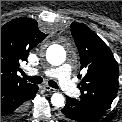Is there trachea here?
<instances>
[{"mask_svg":"<svg viewBox=\"0 0 122 122\" xmlns=\"http://www.w3.org/2000/svg\"><path fill=\"white\" fill-rule=\"evenodd\" d=\"M23 76H24V78L27 79L29 82L34 83V84H40V83H42V81H43L42 77H39V76L29 77V76H27V75L24 74V73H23ZM48 84H49L51 87L55 88V89H58V88H59L58 85H57V83H56L55 81H53V80L48 81Z\"/></svg>","mask_w":122,"mask_h":122,"instance_id":"obj_1","label":"trachea"}]
</instances>
